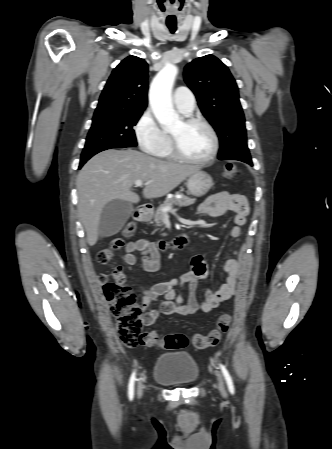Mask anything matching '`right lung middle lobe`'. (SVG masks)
Returning <instances> with one entry per match:
<instances>
[{"instance_id":"dd1d6c3e","label":"right lung middle lobe","mask_w":332,"mask_h":449,"mask_svg":"<svg viewBox=\"0 0 332 449\" xmlns=\"http://www.w3.org/2000/svg\"><path fill=\"white\" fill-rule=\"evenodd\" d=\"M142 112H113L93 116L92 126L81 156L111 148L137 145L133 126Z\"/></svg>"}]
</instances>
